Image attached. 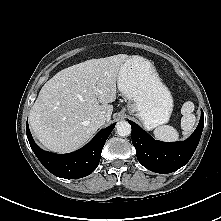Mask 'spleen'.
Listing matches in <instances>:
<instances>
[{"label":"spleen","mask_w":221,"mask_h":221,"mask_svg":"<svg viewBox=\"0 0 221 221\" xmlns=\"http://www.w3.org/2000/svg\"><path fill=\"white\" fill-rule=\"evenodd\" d=\"M194 104L191 101H187L181 108V128L185 137L189 136L194 128L196 117L193 114ZM154 136L156 139L165 142H174L179 139L178 131L169 125H164L154 130Z\"/></svg>","instance_id":"1"}]
</instances>
